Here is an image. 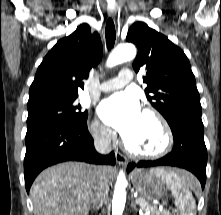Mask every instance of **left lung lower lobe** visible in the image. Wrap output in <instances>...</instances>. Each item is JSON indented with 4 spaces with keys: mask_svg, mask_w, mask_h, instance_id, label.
Wrapping results in <instances>:
<instances>
[{
    "mask_svg": "<svg viewBox=\"0 0 221 215\" xmlns=\"http://www.w3.org/2000/svg\"><path fill=\"white\" fill-rule=\"evenodd\" d=\"M174 147L171 153L154 161H140L128 165V171L137 167L174 166L192 172L202 189L206 182L207 149L204 142V126L201 116L177 112L169 124Z\"/></svg>",
    "mask_w": 221,
    "mask_h": 215,
    "instance_id": "obj_1",
    "label": "left lung lower lobe"
}]
</instances>
